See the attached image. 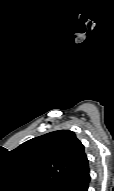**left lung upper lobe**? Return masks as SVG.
I'll return each mask as SVG.
<instances>
[{
	"label": "left lung upper lobe",
	"mask_w": 114,
	"mask_h": 191,
	"mask_svg": "<svg viewBox=\"0 0 114 191\" xmlns=\"http://www.w3.org/2000/svg\"><path fill=\"white\" fill-rule=\"evenodd\" d=\"M12 154L24 173L47 191H64L88 163L83 144L69 130L35 137Z\"/></svg>",
	"instance_id": "5c2ea615"
}]
</instances>
